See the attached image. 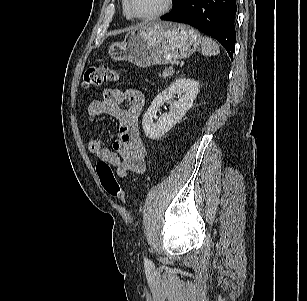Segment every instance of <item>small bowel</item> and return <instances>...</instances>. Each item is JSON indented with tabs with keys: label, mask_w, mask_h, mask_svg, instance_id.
I'll return each mask as SVG.
<instances>
[{
	"label": "small bowel",
	"mask_w": 307,
	"mask_h": 301,
	"mask_svg": "<svg viewBox=\"0 0 307 301\" xmlns=\"http://www.w3.org/2000/svg\"><path fill=\"white\" fill-rule=\"evenodd\" d=\"M123 103L127 104L125 108ZM143 106L142 92L134 89H107L102 99H94L88 106L89 116L109 115L119 122V137L113 143V150L104 147L98 139L88 142V150L114 167L120 178L129 173L142 174L146 170L147 152L138 129V118Z\"/></svg>",
	"instance_id": "c3829d8e"
}]
</instances>
